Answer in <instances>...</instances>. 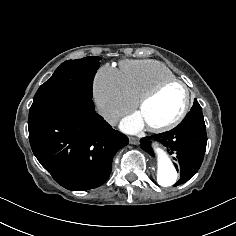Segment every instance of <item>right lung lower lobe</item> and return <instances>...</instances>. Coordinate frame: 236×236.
I'll use <instances>...</instances> for the list:
<instances>
[{
    "label": "right lung lower lobe",
    "mask_w": 236,
    "mask_h": 236,
    "mask_svg": "<svg viewBox=\"0 0 236 236\" xmlns=\"http://www.w3.org/2000/svg\"><path fill=\"white\" fill-rule=\"evenodd\" d=\"M29 140L40 164L66 189L84 191L109 177L116 152L128 144L94 110L91 99L55 102L29 112Z\"/></svg>",
    "instance_id": "right-lung-lower-lobe-1"
}]
</instances>
